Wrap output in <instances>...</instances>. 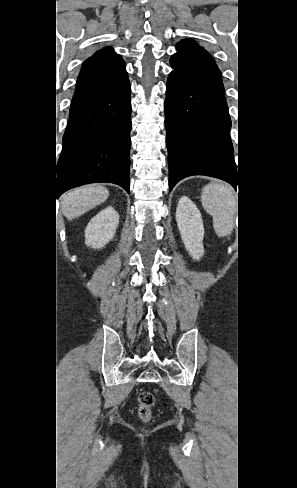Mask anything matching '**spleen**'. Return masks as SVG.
Here are the masks:
<instances>
[{"instance_id":"3e777b00","label":"spleen","mask_w":297,"mask_h":488,"mask_svg":"<svg viewBox=\"0 0 297 488\" xmlns=\"http://www.w3.org/2000/svg\"><path fill=\"white\" fill-rule=\"evenodd\" d=\"M236 197L226 185L208 184L202 191V205L212 215L217 235L227 234L235 212Z\"/></svg>"}]
</instances>
